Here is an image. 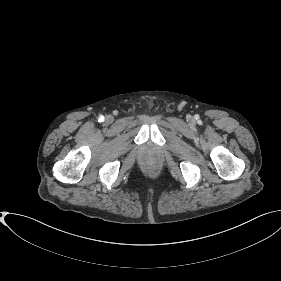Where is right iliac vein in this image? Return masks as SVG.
I'll return each mask as SVG.
<instances>
[{
  "label": "right iliac vein",
  "mask_w": 281,
  "mask_h": 281,
  "mask_svg": "<svg viewBox=\"0 0 281 281\" xmlns=\"http://www.w3.org/2000/svg\"><path fill=\"white\" fill-rule=\"evenodd\" d=\"M106 121L108 122V123H111L112 121H113V117L112 116H107L106 117Z\"/></svg>",
  "instance_id": "obj_1"
}]
</instances>
